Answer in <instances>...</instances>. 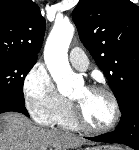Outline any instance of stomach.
<instances>
[{"label": "stomach", "mask_w": 139, "mask_h": 150, "mask_svg": "<svg viewBox=\"0 0 139 150\" xmlns=\"http://www.w3.org/2000/svg\"><path fill=\"white\" fill-rule=\"evenodd\" d=\"M85 150H121V149L114 146H99L93 148H86Z\"/></svg>", "instance_id": "obj_1"}]
</instances>
